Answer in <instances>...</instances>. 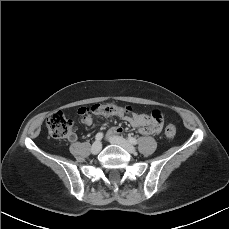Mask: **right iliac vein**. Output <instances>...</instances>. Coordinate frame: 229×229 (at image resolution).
<instances>
[{
	"label": "right iliac vein",
	"instance_id": "obj_1",
	"mask_svg": "<svg viewBox=\"0 0 229 229\" xmlns=\"http://www.w3.org/2000/svg\"><path fill=\"white\" fill-rule=\"evenodd\" d=\"M101 149H102L101 143L99 141H96L93 143V145L91 147V153L92 154H98Z\"/></svg>",
	"mask_w": 229,
	"mask_h": 229
}]
</instances>
